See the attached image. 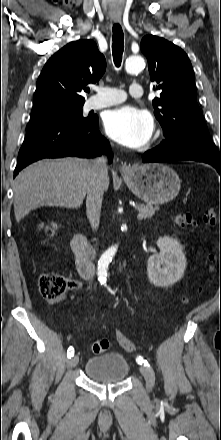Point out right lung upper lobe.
<instances>
[{"mask_svg":"<svg viewBox=\"0 0 221 440\" xmlns=\"http://www.w3.org/2000/svg\"><path fill=\"white\" fill-rule=\"evenodd\" d=\"M106 60L93 40L70 42L45 64L34 94L33 109L52 106H76L85 102L81 92L104 74Z\"/></svg>","mask_w":221,"mask_h":440,"instance_id":"cb5924a9","label":"right lung upper lobe"}]
</instances>
